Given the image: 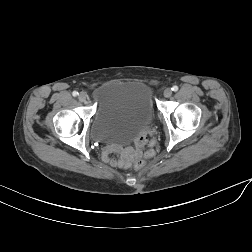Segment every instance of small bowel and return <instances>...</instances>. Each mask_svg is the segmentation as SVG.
Instances as JSON below:
<instances>
[{
    "label": "small bowel",
    "mask_w": 252,
    "mask_h": 252,
    "mask_svg": "<svg viewBox=\"0 0 252 252\" xmlns=\"http://www.w3.org/2000/svg\"><path fill=\"white\" fill-rule=\"evenodd\" d=\"M146 145V137L139 136L134 144V149L126 147L123 149H112L111 152L117 155L116 158H111L109 156L110 152L105 153V159L107 162L114 166H128L133 159L138 158L144 152Z\"/></svg>",
    "instance_id": "obj_1"
}]
</instances>
